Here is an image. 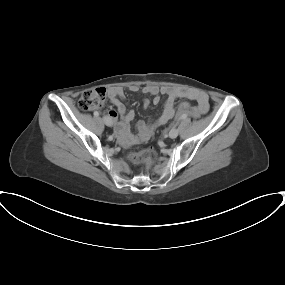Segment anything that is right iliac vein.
Here are the masks:
<instances>
[{"mask_svg": "<svg viewBox=\"0 0 285 285\" xmlns=\"http://www.w3.org/2000/svg\"><path fill=\"white\" fill-rule=\"evenodd\" d=\"M103 121L109 127H111L113 125V122H112V120L109 117H106V116L103 117Z\"/></svg>", "mask_w": 285, "mask_h": 285, "instance_id": "obj_1", "label": "right iliac vein"}]
</instances>
